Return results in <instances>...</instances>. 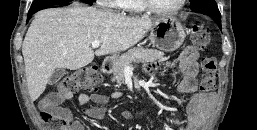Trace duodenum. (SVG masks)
Returning <instances> with one entry per match:
<instances>
[{
    "instance_id": "duodenum-1",
    "label": "duodenum",
    "mask_w": 257,
    "mask_h": 130,
    "mask_svg": "<svg viewBox=\"0 0 257 130\" xmlns=\"http://www.w3.org/2000/svg\"><path fill=\"white\" fill-rule=\"evenodd\" d=\"M112 70V61L110 59H105L101 64V71L105 74Z\"/></svg>"
}]
</instances>
